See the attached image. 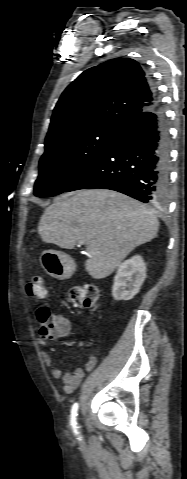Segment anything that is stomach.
Listing matches in <instances>:
<instances>
[{"label":"stomach","instance_id":"1","mask_svg":"<svg viewBox=\"0 0 187 479\" xmlns=\"http://www.w3.org/2000/svg\"><path fill=\"white\" fill-rule=\"evenodd\" d=\"M40 263L44 270L57 279H67L74 271L72 259L65 253L46 250L40 256Z\"/></svg>","mask_w":187,"mask_h":479}]
</instances>
